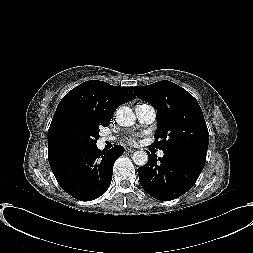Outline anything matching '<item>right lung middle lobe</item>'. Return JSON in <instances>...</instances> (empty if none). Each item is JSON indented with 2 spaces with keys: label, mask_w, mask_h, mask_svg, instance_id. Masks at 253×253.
Returning <instances> with one entry per match:
<instances>
[{
  "label": "right lung middle lobe",
  "mask_w": 253,
  "mask_h": 253,
  "mask_svg": "<svg viewBox=\"0 0 253 253\" xmlns=\"http://www.w3.org/2000/svg\"><path fill=\"white\" fill-rule=\"evenodd\" d=\"M100 123L77 116L60 120L52 133V144L63 150L96 145Z\"/></svg>",
  "instance_id": "right-lung-middle-lobe-1"
}]
</instances>
